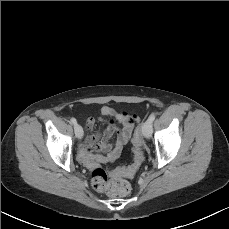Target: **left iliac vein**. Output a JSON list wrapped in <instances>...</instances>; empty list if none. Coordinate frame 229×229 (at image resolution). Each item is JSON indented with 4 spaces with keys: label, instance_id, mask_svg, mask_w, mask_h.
I'll list each match as a JSON object with an SVG mask.
<instances>
[{
    "label": "left iliac vein",
    "instance_id": "obj_1",
    "mask_svg": "<svg viewBox=\"0 0 229 229\" xmlns=\"http://www.w3.org/2000/svg\"><path fill=\"white\" fill-rule=\"evenodd\" d=\"M142 132L146 139H149L152 135V122L148 119L142 125Z\"/></svg>",
    "mask_w": 229,
    "mask_h": 229
}]
</instances>
